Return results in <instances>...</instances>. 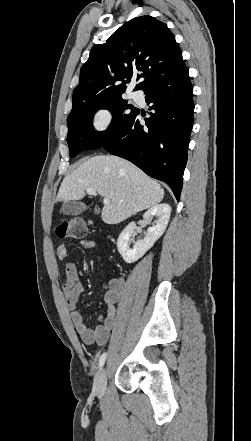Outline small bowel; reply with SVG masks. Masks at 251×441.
Instances as JSON below:
<instances>
[{"label": "small bowel", "mask_w": 251, "mask_h": 441, "mask_svg": "<svg viewBox=\"0 0 251 441\" xmlns=\"http://www.w3.org/2000/svg\"><path fill=\"white\" fill-rule=\"evenodd\" d=\"M82 246L91 250L96 243L93 240L81 241ZM57 256L64 262L65 279L62 284V292L66 304L70 310V317L75 331L83 343L87 345L97 344L102 346L107 343L116 324L117 303L121 297L124 281L121 278L108 280L103 287V312L98 315L99 324L95 327H88L83 315L77 309V303L83 292V284L77 266L67 261L68 248L61 244L57 248Z\"/></svg>", "instance_id": "c3829d8e"}]
</instances>
